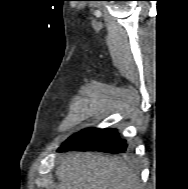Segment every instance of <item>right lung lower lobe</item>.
<instances>
[{"label": "right lung lower lobe", "mask_w": 188, "mask_h": 189, "mask_svg": "<svg viewBox=\"0 0 188 189\" xmlns=\"http://www.w3.org/2000/svg\"><path fill=\"white\" fill-rule=\"evenodd\" d=\"M100 151L112 154L126 153L127 144L116 129H84L70 138L58 149L64 151Z\"/></svg>", "instance_id": "98d812e1"}]
</instances>
